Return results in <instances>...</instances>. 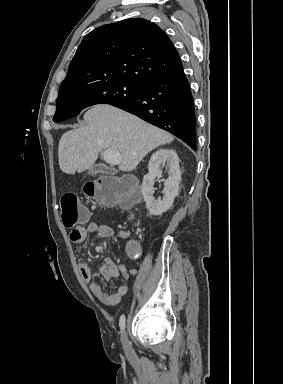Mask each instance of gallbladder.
<instances>
[{
  "label": "gallbladder",
  "instance_id": "bac80fb5",
  "mask_svg": "<svg viewBox=\"0 0 283 384\" xmlns=\"http://www.w3.org/2000/svg\"><path fill=\"white\" fill-rule=\"evenodd\" d=\"M89 172V175L91 177H97L99 175V172H110V165H95Z\"/></svg>",
  "mask_w": 283,
  "mask_h": 384
}]
</instances>
